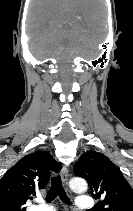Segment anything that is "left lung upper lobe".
<instances>
[{
	"label": "left lung upper lobe",
	"mask_w": 133,
	"mask_h": 211,
	"mask_svg": "<svg viewBox=\"0 0 133 211\" xmlns=\"http://www.w3.org/2000/svg\"><path fill=\"white\" fill-rule=\"evenodd\" d=\"M74 171L88 181L93 198L100 200L93 211H133V190L107 156L88 151L81 155Z\"/></svg>",
	"instance_id": "obj_1"
}]
</instances>
